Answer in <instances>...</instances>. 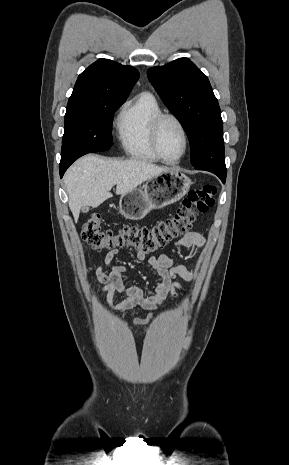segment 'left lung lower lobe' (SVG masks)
Instances as JSON below:
<instances>
[{"instance_id":"1","label":"left lung lower lobe","mask_w":289,"mask_h":465,"mask_svg":"<svg viewBox=\"0 0 289 465\" xmlns=\"http://www.w3.org/2000/svg\"><path fill=\"white\" fill-rule=\"evenodd\" d=\"M214 174H216L223 183H225L226 181V173H220V172H213Z\"/></svg>"}]
</instances>
